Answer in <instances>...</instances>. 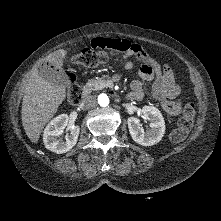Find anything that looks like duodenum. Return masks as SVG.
Returning a JSON list of instances; mask_svg holds the SVG:
<instances>
[{"mask_svg":"<svg viewBox=\"0 0 221 221\" xmlns=\"http://www.w3.org/2000/svg\"><path fill=\"white\" fill-rule=\"evenodd\" d=\"M89 87L88 86H84L83 88H82V91H81V98H85V97H87L88 96V94H89ZM127 99H129V100H135V96H134V94L131 92V93H128L127 94Z\"/></svg>","mask_w":221,"mask_h":221,"instance_id":"1","label":"duodenum"}]
</instances>
